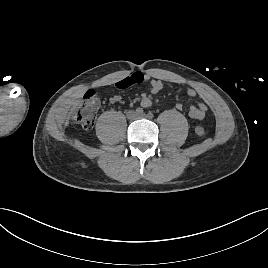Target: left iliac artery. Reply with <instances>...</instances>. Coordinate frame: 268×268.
Instances as JSON below:
<instances>
[{
  "label": "left iliac artery",
  "mask_w": 268,
  "mask_h": 268,
  "mask_svg": "<svg viewBox=\"0 0 268 268\" xmlns=\"http://www.w3.org/2000/svg\"><path fill=\"white\" fill-rule=\"evenodd\" d=\"M147 116H148L149 119H152V118L154 117V115H153L152 112H149V113L147 114Z\"/></svg>",
  "instance_id": "obj_1"
}]
</instances>
